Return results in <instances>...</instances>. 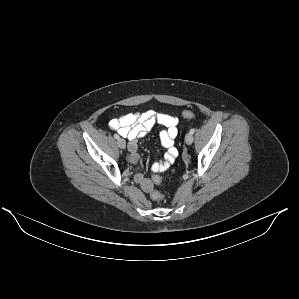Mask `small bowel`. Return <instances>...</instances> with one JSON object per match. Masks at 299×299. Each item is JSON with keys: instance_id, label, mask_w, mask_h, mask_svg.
<instances>
[{"instance_id": "small-bowel-1", "label": "small bowel", "mask_w": 299, "mask_h": 299, "mask_svg": "<svg viewBox=\"0 0 299 299\" xmlns=\"http://www.w3.org/2000/svg\"><path fill=\"white\" fill-rule=\"evenodd\" d=\"M155 124L165 127L160 132L159 137L162 145L166 148V152L162 160L152 164L151 170L153 172H163L170 167L178 156V151L175 147V138L178 133L177 117L156 113L152 110L141 113H127L110 120L109 127L129 140V161L134 164L139 159L137 154L138 139L144 137ZM135 180L145 192L150 193L153 190V182L141 173L135 175Z\"/></svg>"}]
</instances>
